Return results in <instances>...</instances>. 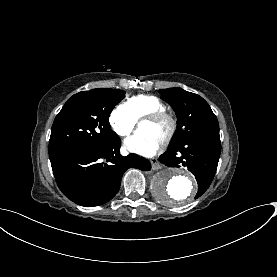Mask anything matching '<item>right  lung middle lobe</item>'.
<instances>
[{
    "label": "right lung middle lobe",
    "instance_id": "dd1d6c3e",
    "mask_svg": "<svg viewBox=\"0 0 277 277\" xmlns=\"http://www.w3.org/2000/svg\"><path fill=\"white\" fill-rule=\"evenodd\" d=\"M125 91L98 88L73 95L56 116L51 128L49 157L61 152L101 147L119 139L110 129L109 116Z\"/></svg>",
    "mask_w": 277,
    "mask_h": 277
}]
</instances>
